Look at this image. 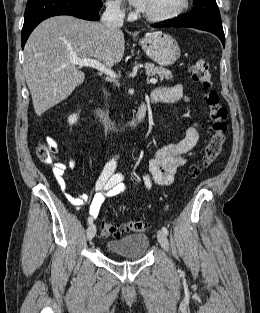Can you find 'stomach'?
Here are the masks:
<instances>
[{"mask_svg": "<svg viewBox=\"0 0 260 313\" xmlns=\"http://www.w3.org/2000/svg\"><path fill=\"white\" fill-rule=\"evenodd\" d=\"M145 53L160 66H170L180 57L177 41L169 34L157 32L145 36L141 40Z\"/></svg>", "mask_w": 260, "mask_h": 313, "instance_id": "stomach-1", "label": "stomach"}]
</instances>
